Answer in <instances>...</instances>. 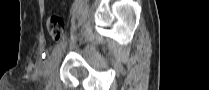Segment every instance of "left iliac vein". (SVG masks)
Listing matches in <instances>:
<instances>
[{
	"mask_svg": "<svg viewBox=\"0 0 209 90\" xmlns=\"http://www.w3.org/2000/svg\"><path fill=\"white\" fill-rule=\"evenodd\" d=\"M63 49L64 47L61 49L60 52H58L53 59L50 61L49 64V72H53L56 70V68L58 67L60 61H61V57H62V53H63Z\"/></svg>",
	"mask_w": 209,
	"mask_h": 90,
	"instance_id": "left-iliac-vein-1",
	"label": "left iliac vein"
}]
</instances>
